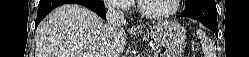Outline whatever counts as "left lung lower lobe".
Segmentation results:
<instances>
[{
  "label": "left lung lower lobe",
  "instance_id": "1",
  "mask_svg": "<svg viewBox=\"0 0 249 57\" xmlns=\"http://www.w3.org/2000/svg\"><path fill=\"white\" fill-rule=\"evenodd\" d=\"M179 17H189L200 21L218 36L217 9L215 0H196L186 4Z\"/></svg>",
  "mask_w": 249,
  "mask_h": 57
}]
</instances>
